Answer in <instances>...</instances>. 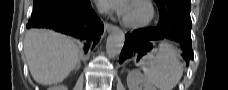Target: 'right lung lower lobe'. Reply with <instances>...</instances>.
<instances>
[{
  "label": "right lung lower lobe",
  "instance_id": "right-lung-lower-lobe-1",
  "mask_svg": "<svg viewBox=\"0 0 228 90\" xmlns=\"http://www.w3.org/2000/svg\"><path fill=\"white\" fill-rule=\"evenodd\" d=\"M27 28H50L79 39L85 51L99 41L103 24L89 0H35Z\"/></svg>",
  "mask_w": 228,
  "mask_h": 90
}]
</instances>
